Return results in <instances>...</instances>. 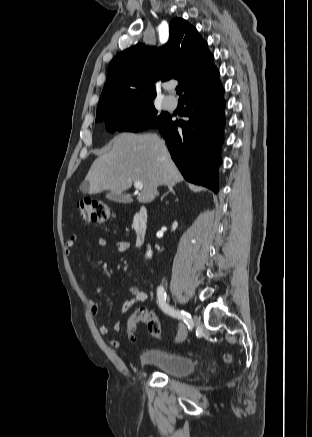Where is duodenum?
I'll return each instance as SVG.
<instances>
[{"instance_id":"1","label":"duodenum","mask_w":312,"mask_h":437,"mask_svg":"<svg viewBox=\"0 0 312 437\" xmlns=\"http://www.w3.org/2000/svg\"><path fill=\"white\" fill-rule=\"evenodd\" d=\"M148 211L145 207L140 209L135 214L133 220V228L135 233V245L140 248L144 246L147 239Z\"/></svg>"}]
</instances>
